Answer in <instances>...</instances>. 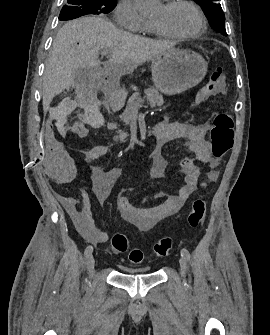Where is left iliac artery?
<instances>
[{"label":"left iliac artery","mask_w":270,"mask_h":335,"mask_svg":"<svg viewBox=\"0 0 270 335\" xmlns=\"http://www.w3.org/2000/svg\"><path fill=\"white\" fill-rule=\"evenodd\" d=\"M181 256L184 257L187 261L190 260V253L186 248L181 249Z\"/></svg>","instance_id":"1"}]
</instances>
